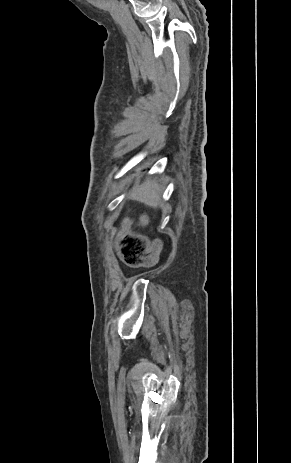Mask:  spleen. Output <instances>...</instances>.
Listing matches in <instances>:
<instances>
[{
	"label": "spleen",
	"instance_id": "obj_1",
	"mask_svg": "<svg viewBox=\"0 0 291 463\" xmlns=\"http://www.w3.org/2000/svg\"><path fill=\"white\" fill-rule=\"evenodd\" d=\"M162 188L155 180L137 185L129 194L131 200L139 201L149 207L157 208L161 202Z\"/></svg>",
	"mask_w": 291,
	"mask_h": 463
}]
</instances>
